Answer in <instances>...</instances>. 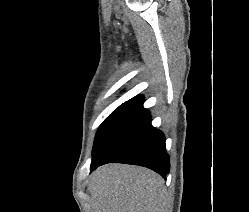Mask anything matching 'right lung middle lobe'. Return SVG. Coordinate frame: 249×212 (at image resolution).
<instances>
[{
    "label": "right lung middle lobe",
    "instance_id": "dd1d6c3e",
    "mask_svg": "<svg viewBox=\"0 0 249 212\" xmlns=\"http://www.w3.org/2000/svg\"><path fill=\"white\" fill-rule=\"evenodd\" d=\"M137 97H134L130 99L129 101L124 102L121 104L118 108H116L105 120L104 122L100 125L96 136H95V141H94V146H93V152L96 150L98 144L104 137V135L107 133L109 130L110 126L115 122V120L121 115V113L130 105V103L134 100H136Z\"/></svg>",
    "mask_w": 249,
    "mask_h": 212
}]
</instances>
